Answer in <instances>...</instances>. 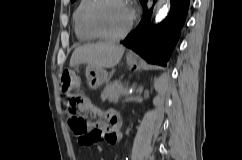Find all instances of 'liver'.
<instances>
[{"label":"liver","mask_w":242,"mask_h":160,"mask_svg":"<svg viewBox=\"0 0 242 160\" xmlns=\"http://www.w3.org/2000/svg\"><path fill=\"white\" fill-rule=\"evenodd\" d=\"M125 51V47L111 42H99L78 47L72 53L70 67L87 64L93 68H113Z\"/></svg>","instance_id":"obj_1"}]
</instances>
